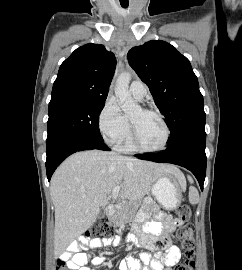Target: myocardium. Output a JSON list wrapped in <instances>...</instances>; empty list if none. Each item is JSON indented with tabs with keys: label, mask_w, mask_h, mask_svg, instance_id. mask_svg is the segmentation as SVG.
I'll return each instance as SVG.
<instances>
[{
	"label": "myocardium",
	"mask_w": 242,
	"mask_h": 270,
	"mask_svg": "<svg viewBox=\"0 0 242 270\" xmlns=\"http://www.w3.org/2000/svg\"><path fill=\"white\" fill-rule=\"evenodd\" d=\"M140 110L143 113L153 114V115L157 116L163 125L165 135H164V140L160 146L155 147V148L145 147L139 141L138 131H137V127H136L134 121L132 119H130L129 122H130V130H131V142H132L134 149L137 151H140V152H144V153H155V152H160V151L165 150L169 144V141H170L171 131H170L169 125H168L166 119L164 118L163 114L160 111H158L156 109H152V108H140Z\"/></svg>",
	"instance_id": "f54148a6"
}]
</instances>
